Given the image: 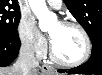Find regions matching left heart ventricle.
<instances>
[{
	"label": "left heart ventricle",
	"mask_w": 102,
	"mask_h": 75,
	"mask_svg": "<svg viewBox=\"0 0 102 75\" xmlns=\"http://www.w3.org/2000/svg\"><path fill=\"white\" fill-rule=\"evenodd\" d=\"M49 34L55 52L62 60L73 62L83 55L85 42L78 29L55 23L50 27Z\"/></svg>",
	"instance_id": "1"
}]
</instances>
